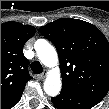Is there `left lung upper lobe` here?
Masks as SVG:
<instances>
[{"instance_id": "5c2ea615", "label": "left lung upper lobe", "mask_w": 109, "mask_h": 109, "mask_svg": "<svg viewBox=\"0 0 109 109\" xmlns=\"http://www.w3.org/2000/svg\"><path fill=\"white\" fill-rule=\"evenodd\" d=\"M56 47L62 88L101 101L109 91V42L94 25L61 18L39 28Z\"/></svg>"}]
</instances>
